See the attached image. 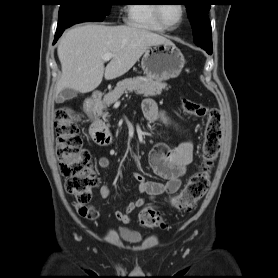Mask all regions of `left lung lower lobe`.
<instances>
[{"mask_svg": "<svg viewBox=\"0 0 278 278\" xmlns=\"http://www.w3.org/2000/svg\"><path fill=\"white\" fill-rule=\"evenodd\" d=\"M208 54H212V49H205Z\"/></svg>", "mask_w": 278, "mask_h": 278, "instance_id": "obj_1", "label": "left lung lower lobe"}]
</instances>
